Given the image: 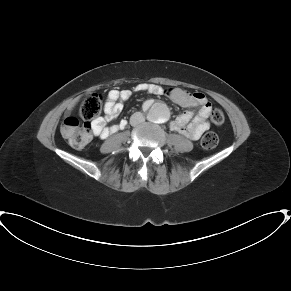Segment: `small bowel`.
Segmentation results:
<instances>
[{"label":"small bowel","mask_w":291,"mask_h":291,"mask_svg":"<svg viewBox=\"0 0 291 291\" xmlns=\"http://www.w3.org/2000/svg\"><path fill=\"white\" fill-rule=\"evenodd\" d=\"M135 90L154 95H164L177 105L190 108L171 120V130L191 140H198L209 129L208 115L211 107L202 93L189 94L177 87L164 89L153 83H139ZM131 94L132 91L129 89L111 90L105 103V118L109 120L120 113L123 108L122 101L129 99ZM196 106H201L197 113L193 110ZM125 126V120H121L111 126H106L103 121L97 120L93 123V132L98 138L106 139L109 135L118 132Z\"/></svg>","instance_id":"c3829d8e"}]
</instances>
